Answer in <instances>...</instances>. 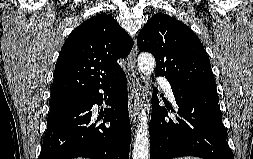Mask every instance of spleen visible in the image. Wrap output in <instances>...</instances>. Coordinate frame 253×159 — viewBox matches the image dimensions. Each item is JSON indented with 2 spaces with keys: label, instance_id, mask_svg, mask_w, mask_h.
I'll return each instance as SVG.
<instances>
[{
  "label": "spleen",
  "instance_id": "obj_1",
  "mask_svg": "<svg viewBox=\"0 0 253 159\" xmlns=\"http://www.w3.org/2000/svg\"><path fill=\"white\" fill-rule=\"evenodd\" d=\"M176 159H200V158L188 156V157L176 158Z\"/></svg>",
  "mask_w": 253,
  "mask_h": 159
}]
</instances>
